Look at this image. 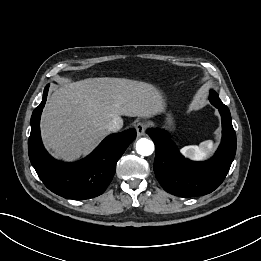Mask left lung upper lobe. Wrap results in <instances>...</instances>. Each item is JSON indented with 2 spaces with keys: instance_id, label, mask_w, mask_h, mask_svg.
<instances>
[{
  "instance_id": "5c2ea615",
  "label": "left lung upper lobe",
  "mask_w": 261,
  "mask_h": 261,
  "mask_svg": "<svg viewBox=\"0 0 261 261\" xmlns=\"http://www.w3.org/2000/svg\"><path fill=\"white\" fill-rule=\"evenodd\" d=\"M209 100H210L211 104H213L215 107H217V106L226 107V105H224L222 103V101L218 97V94L214 90L210 91Z\"/></svg>"
}]
</instances>
